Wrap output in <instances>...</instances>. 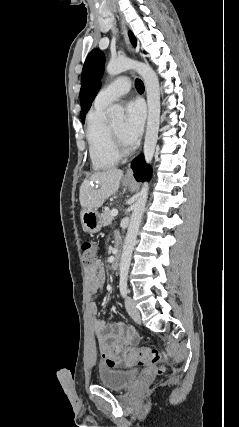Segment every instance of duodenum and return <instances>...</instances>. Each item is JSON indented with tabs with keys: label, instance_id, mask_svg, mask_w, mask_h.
Segmentation results:
<instances>
[{
	"label": "duodenum",
	"instance_id": "1",
	"mask_svg": "<svg viewBox=\"0 0 239 427\" xmlns=\"http://www.w3.org/2000/svg\"><path fill=\"white\" fill-rule=\"evenodd\" d=\"M120 256H121L120 250L118 248H116L114 250L113 259H112V268L114 270H117L119 268Z\"/></svg>",
	"mask_w": 239,
	"mask_h": 427
}]
</instances>
